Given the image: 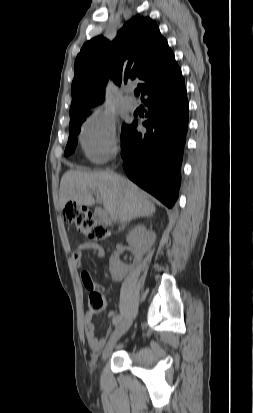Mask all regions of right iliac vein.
Here are the masks:
<instances>
[{
	"instance_id": "63e3f726",
	"label": "right iliac vein",
	"mask_w": 253,
	"mask_h": 413,
	"mask_svg": "<svg viewBox=\"0 0 253 413\" xmlns=\"http://www.w3.org/2000/svg\"><path fill=\"white\" fill-rule=\"evenodd\" d=\"M132 322L131 321H123L122 323H120L116 329L114 330V332L112 333L108 344L103 352V360H106L113 348L115 347L117 341L128 331V329L130 328Z\"/></svg>"
}]
</instances>
